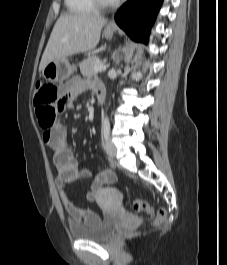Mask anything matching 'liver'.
I'll use <instances>...</instances> for the list:
<instances>
[{
    "instance_id": "liver-1",
    "label": "liver",
    "mask_w": 227,
    "mask_h": 265,
    "mask_svg": "<svg viewBox=\"0 0 227 265\" xmlns=\"http://www.w3.org/2000/svg\"><path fill=\"white\" fill-rule=\"evenodd\" d=\"M106 23L105 18L88 13L61 15L42 55L39 71L51 61H61L73 54L94 49Z\"/></svg>"
}]
</instances>
